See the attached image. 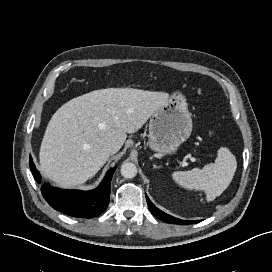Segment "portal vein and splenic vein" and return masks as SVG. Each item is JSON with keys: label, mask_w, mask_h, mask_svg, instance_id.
I'll return each instance as SVG.
<instances>
[{"label": "portal vein and splenic vein", "mask_w": 272, "mask_h": 272, "mask_svg": "<svg viewBox=\"0 0 272 272\" xmlns=\"http://www.w3.org/2000/svg\"><path fill=\"white\" fill-rule=\"evenodd\" d=\"M190 160L192 161V162H195L196 161V159L195 158H193V157H190ZM187 163L184 161L183 162V165L185 166Z\"/></svg>", "instance_id": "obj_1"}]
</instances>
